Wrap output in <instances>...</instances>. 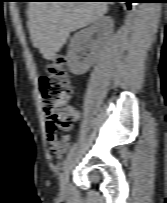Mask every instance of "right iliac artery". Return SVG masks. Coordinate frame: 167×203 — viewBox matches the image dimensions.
I'll return each mask as SVG.
<instances>
[{
	"label": "right iliac artery",
	"mask_w": 167,
	"mask_h": 203,
	"mask_svg": "<svg viewBox=\"0 0 167 203\" xmlns=\"http://www.w3.org/2000/svg\"><path fill=\"white\" fill-rule=\"evenodd\" d=\"M74 151H75V144L70 148V150H69V152H68V154H67V156H66V158H65V160L63 162V168H65L68 165L71 157L74 154Z\"/></svg>",
	"instance_id": "82829eb1"
}]
</instances>
